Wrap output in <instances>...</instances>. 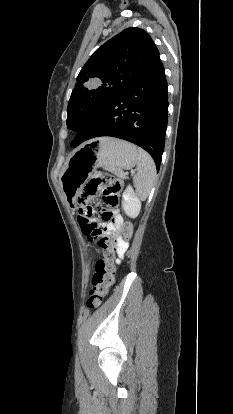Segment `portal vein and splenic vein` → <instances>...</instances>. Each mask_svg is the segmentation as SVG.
I'll return each mask as SVG.
<instances>
[{"label":"portal vein and splenic vein","instance_id":"18ae733b","mask_svg":"<svg viewBox=\"0 0 233 414\" xmlns=\"http://www.w3.org/2000/svg\"><path fill=\"white\" fill-rule=\"evenodd\" d=\"M131 173L133 174L134 173V170H131ZM122 176L125 177V174L123 173Z\"/></svg>","mask_w":233,"mask_h":414}]
</instances>
